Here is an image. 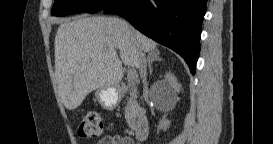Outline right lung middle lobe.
Wrapping results in <instances>:
<instances>
[{"label":"right lung middle lobe","instance_id":"1","mask_svg":"<svg viewBox=\"0 0 273 144\" xmlns=\"http://www.w3.org/2000/svg\"><path fill=\"white\" fill-rule=\"evenodd\" d=\"M111 0H55L52 16H65L81 12H97L102 10Z\"/></svg>","mask_w":273,"mask_h":144}]
</instances>
